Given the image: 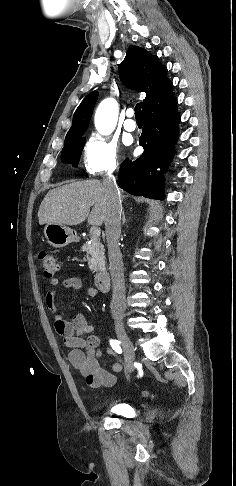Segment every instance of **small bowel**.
<instances>
[{
  "mask_svg": "<svg viewBox=\"0 0 236 486\" xmlns=\"http://www.w3.org/2000/svg\"><path fill=\"white\" fill-rule=\"evenodd\" d=\"M61 287L80 290L83 283L79 277H68L62 281ZM86 292L88 296H94L96 293L93 288H88ZM55 295V290L48 291L45 302L47 308L54 315L55 330L63 337L64 345L69 349V362L82 373L89 387L113 386L116 383V376L100 365L101 341L94 333L95 326L89 323L81 313L76 314L70 321L66 320L61 309L55 304ZM108 353L114 355L112 350H108ZM122 370L121 361L113 364L112 371L114 373H120Z\"/></svg>",
  "mask_w": 236,
  "mask_h": 486,
  "instance_id": "small-bowel-1",
  "label": "small bowel"
}]
</instances>
